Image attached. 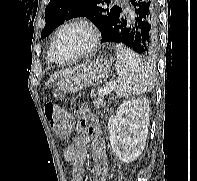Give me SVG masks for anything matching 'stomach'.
Instances as JSON below:
<instances>
[{"mask_svg": "<svg viewBox=\"0 0 197 181\" xmlns=\"http://www.w3.org/2000/svg\"><path fill=\"white\" fill-rule=\"evenodd\" d=\"M111 73V62L105 58H97L60 78L57 85L63 92H77L85 87L102 83Z\"/></svg>", "mask_w": 197, "mask_h": 181, "instance_id": "1", "label": "stomach"}]
</instances>
